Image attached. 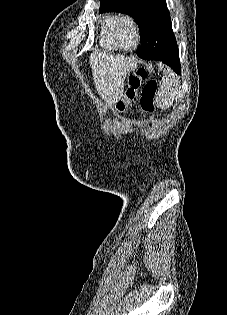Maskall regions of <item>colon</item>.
<instances>
[{
  "label": "colon",
  "instance_id": "obj_1",
  "mask_svg": "<svg viewBox=\"0 0 227 315\" xmlns=\"http://www.w3.org/2000/svg\"><path fill=\"white\" fill-rule=\"evenodd\" d=\"M157 88V82L154 79H148L146 69L138 68L132 71L128 76L124 96L119 101L118 108L124 110L128 103L135 101L138 91H140V105L142 110L148 114H152Z\"/></svg>",
  "mask_w": 227,
  "mask_h": 315
}]
</instances>
